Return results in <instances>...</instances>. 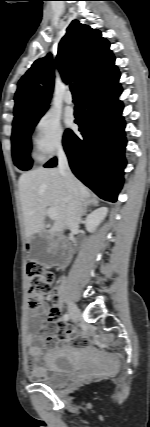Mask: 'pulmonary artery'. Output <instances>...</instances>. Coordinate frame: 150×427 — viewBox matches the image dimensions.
Wrapping results in <instances>:
<instances>
[{"instance_id": "1", "label": "pulmonary artery", "mask_w": 150, "mask_h": 427, "mask_svg": "<svg viewBox=\"0 0 150 427\" xmlns=\"http://www.w3.org/2000/svg\"><path fill=\"white\" fill-rule=\"evenodd\" d=\"M64 102L66 103V104H72L73 103V97H72V95H71V93H69V92H67L65 95H64Z\"/></svg>"}]
</instances>
